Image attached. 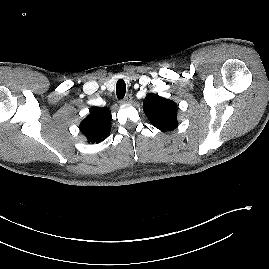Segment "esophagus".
I'll list each match as a JSON object with an SVG mask.
<instances>
[{
  "instance_id": "esophagus-1",
  "label": "esophagus",
  "mask_w": 269,
  "mask_h": 269,
  "mask_svg": "<svg viewBox=\"0 0 269 269\" xmlns=\"http://www.w3.org/2000/svg\"><path fill=\"white\" fill-rule=\"evenodd\" d=\"M132 95L131 94H128L125 96V98L121 101V103L123 104H128V103H131L132 102Z\"/></svg>"
}]
</instances>
